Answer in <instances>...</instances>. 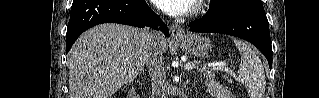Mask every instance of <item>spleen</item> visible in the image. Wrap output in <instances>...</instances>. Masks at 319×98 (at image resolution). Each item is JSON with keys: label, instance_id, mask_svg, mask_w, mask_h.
<instances>
[{"label": "spleen", "instance_id": "1", "mask_svg": "<svg viewBox=\"0 0 319 98\" xmlns=\"http://www.w3.org/2000/svg\"><path fill=\"white\" fill-rule=\"evenodd\" d=\"M240 52L239 78L245 84L250 98H264L266 81L263 65L252 49L238 39L233 40Z\"/></svg>", "mask_w": 319, "mask_h": 98}]
</instances>
